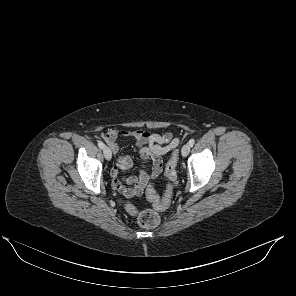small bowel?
Instances as JSON below:
<instances>
[{
    "label": "small bowel",
    "mask_w": 296,
    "mask_h": 296,
    "mask_svg": "<svg viewBox=\"0 0 296 296\" xmlns=\"http://www.w3.org/2000/svg\"><path fill=\"white\" fill-rule=\"evenodd\" d=\"M131 137L136 140L138 154L144 161H151L152 173L142 171L137 176L127 178L120 177V171L131 167L132 160L125 154H117L119 151L118 140ZM104 140L111 153L116 155L115 166L111 170L113 187L127 198L140 195L148 180L158 176L162 172L164 155L178 145V139L171 132L163 134L151 133L143 130L119 131L109 129L104 134ZM163 144H167L163 146Z\"/></svg>",
    "instance_id": "c3829d8e"
}]
</instances>
